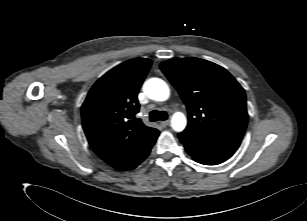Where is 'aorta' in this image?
Instances as JSON below:
<instances>
[{"label": "aorta", "mask_w": 307, "mask_h": 221, "mask_svg": "<svg viewBox=\"0 0 307 221\" xmlns=\"http://www.w3.org/2000/svg\"><path fill=\"white\" fill-rule=\"evenodd\" d=\"M145 94L155 101H166L170 96V89L165 81L159 78H151L144 83ZM186 117L181 112H176L171 119V127L181 132L186 127Z\"/></svg>", "instance_id": "1"}]
</instances>
